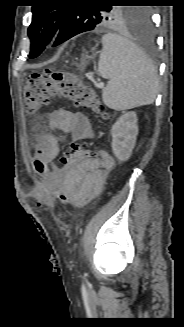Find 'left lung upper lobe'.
<instances>
[{
  "instance_id": "1",
  "label": "left lung upper lobe",
  "mask_w": 184,
  "mask_h": 327,
  "mask_svg": "<svg viewBox=\"0 0 184 327\" xmlns=\"http://www.w3.org/2000/svg\"><path fill=\"white\" fill-rule=\"evenodd\" d=\"M56 0H43L32 6V23L28 28L31 40L29 58H36L45 49L57 29L83 33L100 26H137L149 16L143 7L112 6L113 3H133L134 0H100L96 5L79 4L80 0H70V4L56 5Z\"/></svg>"
}]
</instances>
